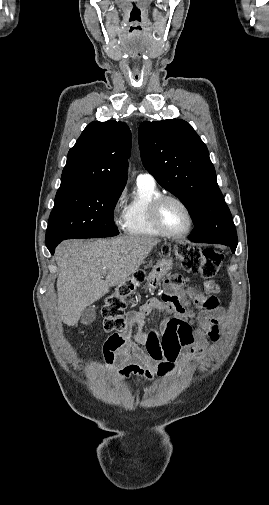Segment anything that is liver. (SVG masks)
<instances>
[{
    "label": "liver",
    "instance_id": "1",
    "mask_svg": "<svg viewBox=\"0 0 269 505\" xmlns=\"http://www.w3.org/2000/svg\"><path fill=\"white\" fill-rule=\"evenodd\" d=\"M158 243V239L143 236L62 242L56 249L62 321L76 325L82 311L107 294L109 288L125 283Z\"/></svg>",
    "mask_w": 269,
    "mask_h": 505
}]
</instances>
